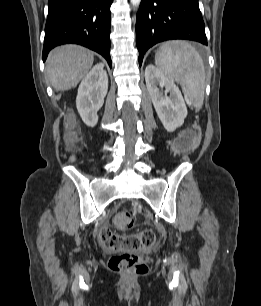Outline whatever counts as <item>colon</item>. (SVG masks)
I'll list each match as a JSON object with an SVG mask.
<instances>
[{"instance_id": "obj_1", "label": "colon", "mask_w": 261, "mask_h": 306, "mask_svg": "<svg viewBox=\"0 0 261 306\" xmlns=\"http://www.w3.org/2000/svg\"><path fill=\"white\" fill-rule=\"evenodd\" d=\"M73 120H67L69 128V140H74ZM197 142V135L192 131L182 133L174 141V149L177 153L191 150ZM114 223L119 230H128L133 226L134 217L129 211H119L114 217ZM101 241L104 247L113 252H119L109 260L112 271L126 275H141L148 271L145 258L136 251L148 249L157 243L158 237L154 230L145 229L133 234H116L110 230L100 231Z\"/></svg>"}]
</instances>
